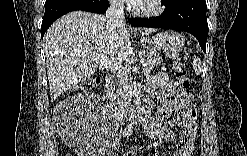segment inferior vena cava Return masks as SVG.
Returning <instances> with one entry per match:
<instances>
[{"instance_id": "inferior-vena-cava-1", "label": "inferior vena cava", "mask_w": 247, "mask_h": 156, "mask_svg": "<svg viewBox=\"0 0 247 156\" xmlns=\"http://www.w3.org/2000/svg\"><path fill=\"white\" fill-rule=\"evenodd\" d=\"M106 19L109 24L115 27L125 25L124 4L121 0H112L110 2V6L106 11ZM112 86V84L110 86L108 85V91L110 92L109 97L112 105L115 107L119 103V99L117 94L114 93ZM118 113H120V110H118Z\"/></svg>"}]
</instances>
